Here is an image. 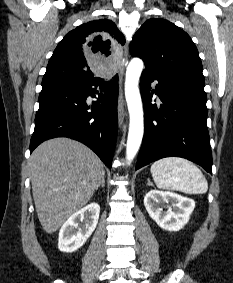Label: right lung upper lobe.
Masks as SVG:
<instances>
[{"instance_id": "1", "label": "right lung upper lobe", "mask_w": 233, "mask_h": 283, "mask_svg": "<svg viewBox=\"0 0 233 283\" xmlns=\"http://www.w3.org/2000/svg\"><path fill=\"white\" fill-rule=\"evenodd\" d=\"M118 44L125 38L114 22L89 21L70 31L51 56L42 84L52 81L84 82L95 78L94 70H111Z\"/></svg>"}]
</instances>
